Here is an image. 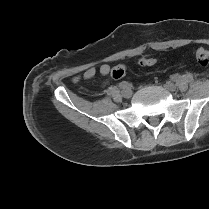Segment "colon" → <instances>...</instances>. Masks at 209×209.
<instances>
[{"instance_id": "colon-1", "label": "colon", "mask_w": 209, "mask_h": 209, "mask_svg": "<svg viewBox=\"0 0 209 209\" xmlns=\"http://www.w3.org/2000/svg\"><path fill=\"white\" fill-rule=\"evenodd\" d=\"M195 59L197 63L202 67H208L209 66V50L205 48H198L195 51ZM156 60L153 58H143L139 61V64L141 66L150 67L155 65ZM126 69L122 65H117L113 67L111 70V77L113 79H120L125 75Z\"/></svg>"}]
</instances>
